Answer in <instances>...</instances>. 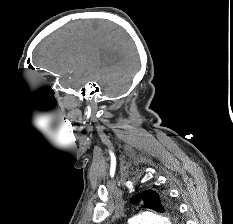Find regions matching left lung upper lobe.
I'll list each match as a JSON object with an SVG mask.
<instances>
[{
    "instance_id": "obj_1",
    "label": "left lung upper lobe",
    "mask_w": 233,
    "mask_h": 224,
    "mask_svg": "<svg viewBox=\"0 0 233 224\" xmlns=\"http://www.w3.org/2000/svg\"><path fill=\"white\" fill-rule=\"evenodd\" d=\"M139 197L144 200V208L152 209L161 213L167 212L171 216H174L176 212L174 205L169 201V199L165 195H159L156 191H144L139 194L138 197L132 198L131 201L133 203H137Z\"/></svg>"
}]
</instances>
